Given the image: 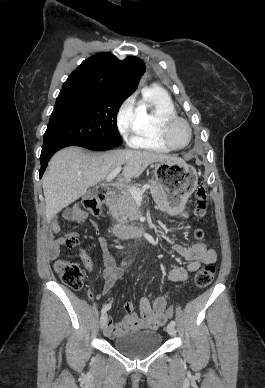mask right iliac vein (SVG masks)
Returning a JSON list of instances; mask_svg holds the SVG:
<instances>
[{
  "label": "right iliac vein",
  "instance_id": "right-iliac-vein-1",
  "mask_svg": "<svg viewBox=\"0 0 265 388\" xmlns=\"http://www.w3.org/2000/svg\"><path fill=\"white\" fill-rule=\"evenodd\" d=\"M106 321H107V314L106 313H103L101 315V318H100V329L103 330L105 328V325H106Z\"/></svg>",
  "mask_w": 265,
  "mask_h": 388
}]
</instances>
